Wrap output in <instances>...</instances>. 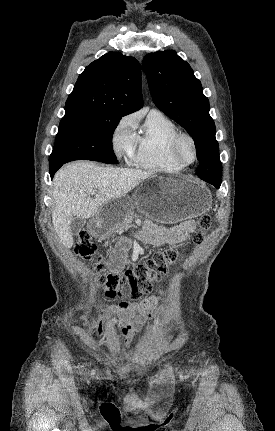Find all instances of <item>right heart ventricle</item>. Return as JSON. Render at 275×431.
<instances>
[{
  "label": "right heart ventricle",
  "instance_id": "right-heart-ventricle-1",
  "mask_svg": "<svg viewBox=\"0 0 275 431\" xmlns=\"http://www.w3.org/2000/svg\"><path fill=\"white\" fill-rule=\"evenodd\" d=\"M179 132L177 125L165 114L151 110L136 135V151L132 163L142 169L159 173H176L183 167L169 153L170 142Z\"/></svg>",
  "mask_w": 275,
  "mask_h": 431
}]
</instances>
